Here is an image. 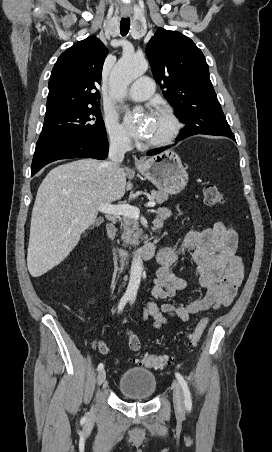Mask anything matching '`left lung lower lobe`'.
Segmentation results:
<instances>
[{
    "label": "left lung lower lobe",
    "mask_w": 272,
    "mask_h": 452,
    "mask_svg": "<svg viewBox=\"0 0 272 452\" xmlns=\"http://www.w3.org/2000/svg\"><path fill=\"white\" fill-rule=\"evenodd\" d=\"M196 134H205L203 132H200L198 130H192V129H184V131H182L179 135V137L177 138V140H182L186 137L192 136V135H196ZM208 135H212V134H208ZM216 135H220V136H227L229 138H231L232 140H235L234 134L232 132L229 133H225V134H216ZM168 147H163V148H158V149H153L151 151H149L147 154L148 155H155L158 154L164 150H166Z\"/></svg>",
    "instance_id": "1"
}]
</instances>
